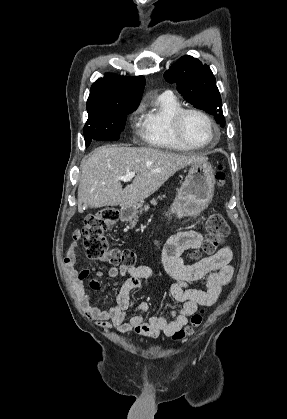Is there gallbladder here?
Wrapping results in <instances>:
<instances>
[{
  "instance_id": "1",
  "label": "gallbladder",
  "mask_w": 287,
  "mask_h": 419,
  "mask_svg": "<svg viewBox=\"0 0 287 419\" xmlns=\"http://www.w3.org/2000/svg\"><path fill=\"white\" fill-rule=\"evenodd\" d=\"M83 208H84V210H85V209L87 208V205H86V204H84V205H83Z\"/></svg>"
}]
</instances>
